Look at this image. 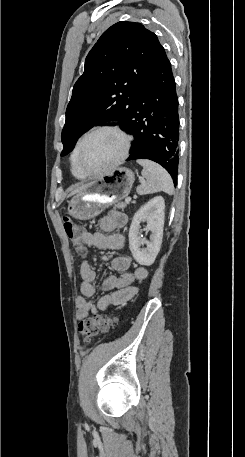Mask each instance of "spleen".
<instances>
[{
	"label": "spleen",
	"instance_id": "3e777b00",
	"mask_svg": "<svg viewBox=\"0 0 245 457\" xmlns=\"http://www.w3.org/2000/svg\"><path fill=\"white\" fill-rule=\"evenodd\" d=\"M137 162L143 166L142 174L147 178V180L138 184L136 188L137 194H151V192H160V190L173 194V180L169 172L161 164H157L153 160H147V158H139Z\"/></svg>",
	"mask_w": 245,
	"mask_h": 457
}]
</instances>
